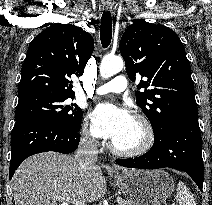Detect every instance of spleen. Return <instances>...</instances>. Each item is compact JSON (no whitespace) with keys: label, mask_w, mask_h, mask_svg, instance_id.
I'll return each instance as SVG.
<instances>
[{"label":"spleen","mask_w":212,"mask_h":205,"mask_svg":"<svg viewBox=\"0 0 212 205\" xmlns=\"http://www.w3.org/2000/svg\"><path fill=\"white\" fill-rule=\"evenodd\" d=\"M176 201L180 205H196L193 195L183 182L178 183Z\"/></svg>","instance_id":"obj_1"}]
</instances>
